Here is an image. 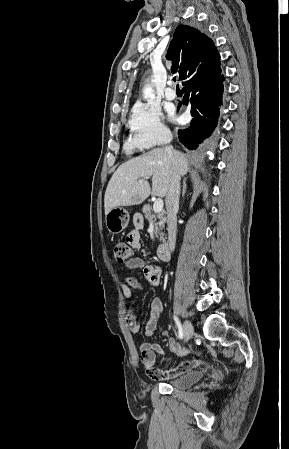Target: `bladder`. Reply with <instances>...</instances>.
Instances as JSON below:
<instances>
[{
	"label": "bladder",
	"mask_w": 289,
	"mask_h": 449,
	"mask_svg": "<svg viewBox=\"0 0 289 449\" xmlns=\"http://www.w3.org/2000/svg\"><path fill=\"white\" fill-rule=\"evenodd\" d=\"M205 373L201 370L191 371L183 374L182 376L172 379L167 383L173 388L187 389L198 383L204 377Z\"/></svg>",
	"instance_id": "31cf9c89"
}]
</instances>
